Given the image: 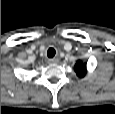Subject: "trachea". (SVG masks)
I'll return each instance as SVG.
<instances>
[{"mask_svg": "<svg viewBox=\"0 0 115 114\" xmlns=\"http://www.w3.org/2000/svg\"><path fill=\"white\" fill-rule=\"evenodd\" d=\"M55 54H56V51H55L54 48H49V49H48V51H47V56H48L49 58H53V57L55 56Z\"/></svg>", "mask_w": 115, "mask_h": 114, "instance_id": "obj_1", "label": "trachea"}]
</instances>
